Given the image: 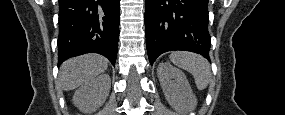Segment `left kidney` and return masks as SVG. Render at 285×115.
Segmentation results:
<instances>
[{"instance_id": "obj_1", "label": "left kidney", "mask_w": 285, "mask_h": 115, "mask_svg": "<svg viewBox=\"0 0 285 115\" xmlns=\"http://www.w3.org/2000/svg\"><path fill=\"white\" fill-rule=\"evenodd\" d=\"M158 78L168 103L175 109L191 111L197 105L185 74L167 62H161L157 68Z\"/></svg>"}]
</instances>
